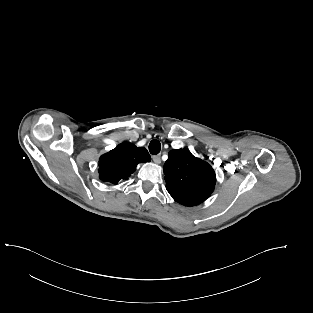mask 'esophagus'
Wrapping results in <instances>:
<instances>
[{
	"label": "esophagus",
	"instance_id": "obj_1",
	"mask_svg": "<svg viewBox=\"0 0 313 313\" xmlns=\"http://www.w3.org/2000/svg\"><path fill=\"white\" fill-rule=\"evenodd\" d=\"M153 161L156 163V164H160L161 163V158H160V155H154L152 157Z\"/></svg>",
	"mask_w": 313,
	"mask_h": 313
}]
</instances>
